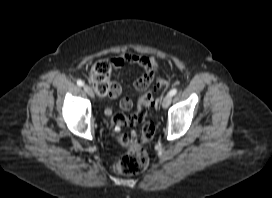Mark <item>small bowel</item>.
Returning a JSON list of instances; mask_svg holds the SVG:
<instances>
[{
    "label": "small bowel",
    "instance_id": "obj_1",
    "mask_svg": "<svg viewBox=\"0 0 272 198\" xmlns=\"http://www.w3.org/2000/svg\"><path fill=\"white\" fill-rule=\"evenodd\" d=\"M113 63L116 68H120L124 64L130 63V64L138 65L145 70L144 74L135 81V87H136V82L138 80L144 79L147 77H150L153 79L157 73V63L153 59H150L149 57H147L145 55H138V54H134V53H125V54L121 55L120 57L116 58L113 61ZM137 89H139V88H137ZM140 90H142V89H140ZM120 93H121V86L118 83L113 82L112 93L110 95H108L107 97L109 99L113 100V99H116L120 95ZM131 107H132V100L129 97H124L120 100V108L121 109L127 111V110L131 109ZM112 113H113L112 107L107 106L105 108V114L107 116H111Z\"/></svg>",
    "mask_w": 272,
    "mask_h": 198
}]
</instances>
